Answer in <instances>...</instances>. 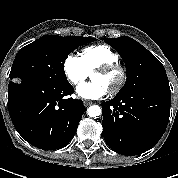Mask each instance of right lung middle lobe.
<instances>
[{
	"mask_svg": "<svg viewBox=\"0 0 178 178\" xmlns=\"http://www.w3.org/2000/svg\"><path fill=\"white\" fill-rule=\"evenodd\" d=\"M95 40L76 36H43L20 49L9 78L13 83L67 81L64 62L68 55L77 47Z\"/></svg>",
	"mask_w": 178,
	"mask_h": 178,
	"instance_id": "dd1d6c3e",
	"label": "right lung middle lobe"
}]
</instances>
